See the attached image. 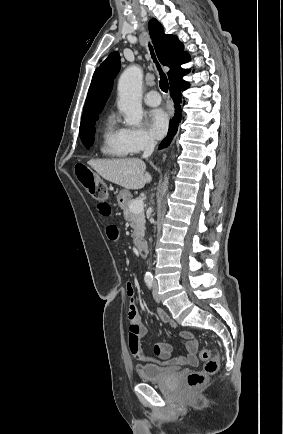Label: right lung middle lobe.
Returning <instances> with one entry per match:
<instances>
[{
	"label": "right lung middle lobe",
	"instance_id": "dd1d6c3e",
	"mask_svg": "<svg viewBox=\"0 0 283 434\" xmlns=\"http://www.w3.org/2000/svg\"><path fill=\"white\" fill-rule=\"evenodd\" d=\"M95 121L80 125L79 135L86 148H89L94 141Z\"/></svg>",
	"mask_w": 283,
	"mask_h": 434
}]
</instances>
